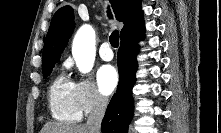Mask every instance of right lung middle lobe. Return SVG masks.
<instances>
[{"instance_id":"dd1d6c3e","label":"right lung middle lobe","mask_w":221,"mask_h":133,"mask_svg":"<svg viewBox=\"0 0 221 133\" xmlns=\"http://www.w3.org/2000/svg\"><path fill=\"white\" fill-rule=\"evenodd\" d=\"M55 63L47 64L43 66V77L46 78L48 75L51 74L52 68L54 67Z\"/></svg>"}]
</instances>
